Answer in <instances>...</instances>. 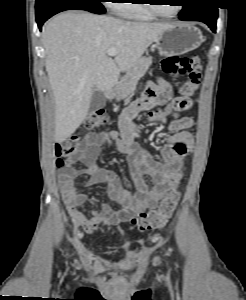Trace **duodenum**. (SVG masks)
Segmentation results:
<instances>
[{
  "label": "duodenum",
  "mask_w": 246,
  "mask_h": 300,
  "mask_svg": "<svg viewBox=\"0 0 246 300\" xmlns=\"http://www.w3.org/2000/svg\"><path fill=\"white\" fill-rule=\"evenodd\" d=\"M105 97L108 99H111L113 97V92L110 88L105 91Z\"/></svg>",
  "instance_id": "1"
}]
</instances>
